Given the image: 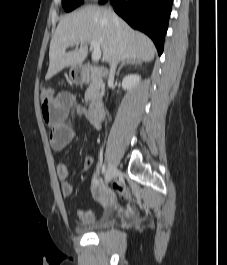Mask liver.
<instances>
[{
	"label": "liver",
	"instance_id": "liver-1",
	"mask_svg": "<svg viewBox=\"0 0 227 265\" xmlns=\"http://www.w3.org/2000/svg\"><path fill=\"white\" fill-rule=\"evenodd\" d=\"M118 31L121 34L120 43L116 42ZM91 41L99 43L103 62H110L116 55L118 61L148 62L154 59L156 52L154 44L146 35L135 31L120 18L116 23L112 11L89 6L60 19L50 42L49 67L45 79L52 78L66 67L82 65ZM75 42L80 43V48L66 52Z\"/></svg>",
	"mask_w": 227,
	"mask_h": 265
}]
</instances>
